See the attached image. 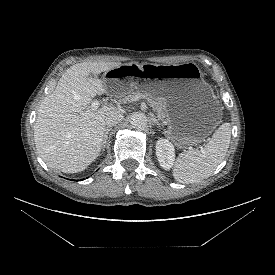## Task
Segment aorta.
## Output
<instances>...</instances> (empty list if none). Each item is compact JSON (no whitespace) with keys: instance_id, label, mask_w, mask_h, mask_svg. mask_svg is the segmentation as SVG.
I'll use <instances>...</instances> for the list:
<instances>
[{"instance_id":"aorta-1","label":"aorta","mask_w":275,"mask_h":275,"mask_svg":"<svg viewBox=\"0 0 275 275\" xmlns=\"http://www.w3.org/2000/svg\"><path fill=\"white\" fill-rule=\"evenodd\" d=\"M130 123L134 128L143 130L147 127L148 120L144 113L135 112L131 115Z\"/></svg>"}]
</instances>
